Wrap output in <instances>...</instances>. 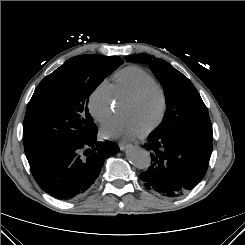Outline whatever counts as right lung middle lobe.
I'll use <instances>...</instances> for the list:
<instances>
[{
    "label": "right lung middle lobe",
    "instance_id": "1",
    "mask_svg": "<svg viewBox=\"0 0 245 245\" xmlns=\"http://www.w3.org/2000/svg\"><path fill=\"white\" fill-rule=\"evenodd\" d=\"M122 63L118 56L79 55L40 82L23 122L28 161L97 131L88 111L89 96Z\"/></svg>",
    "mask_w": 245,
    "mask_h": 245
}]
</instances>
